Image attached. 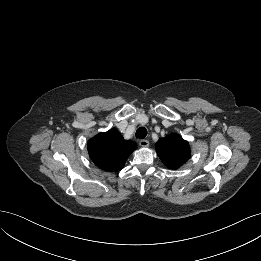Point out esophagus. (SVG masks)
<instances>
[{"label": "esophagus", "instance_id": "1", "mask_svg": "<svg viewBox=\"0 0 261 261\" xmlns=\"http://www.w3.org/2000/svg\"><path fill=\"white\" fill-rule=\"evenodd\" d=\"M138 144H139L140 147H148L149 141L148 140H140Z\"/></svg>", "mask_w": 261, "mask_h": 261}]
</instances>
